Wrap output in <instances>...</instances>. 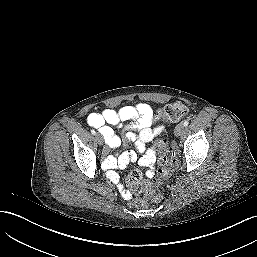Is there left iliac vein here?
Here are the masks:
<instances>
[{
  "mask_svg": "<svg viewBox=\"0 0 257 257\" xmlns=\"http://www.w3.org/2000/svg\"><path fill=\"white\" fill-rule=\"evenodd\" d=\"M184 130H185V128H184V126H183V124H178L176 127H175V135L176 136H180V135H182L183 134V132H184Z\"/></svg>",
  "mask_w": 257,
  "mask_h": 257,
  "instance_id": "left-iliac-vein-1",
  "label": "left iliac vein"
}]
</instances>
